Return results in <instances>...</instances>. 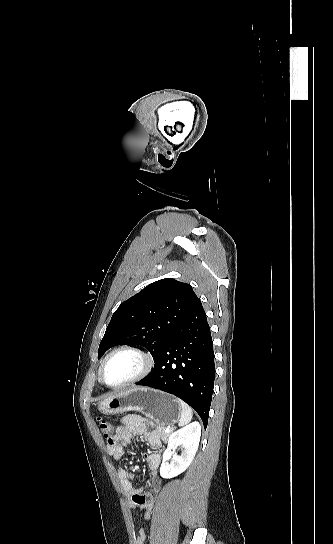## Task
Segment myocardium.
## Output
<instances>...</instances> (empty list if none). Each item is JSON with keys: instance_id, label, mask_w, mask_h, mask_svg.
Wrapping results in <instances>:
<instances>
[{"instance_id": "myocardium-1", "label": "myocardium", "mask_w": 333, "mask_h": 544, "mask_svg": "<svg viewBox=\"0 0 333 544\" xmlns=\"http://www.w3.org/2000/svg\"><path fill=\"white\" fill-rule=\"evenodd\" d=\"M121 352H129V353H133V354L139 356V358L141 359V362H142V366H141L140 371L135 376L128 379L127 381H125L123 383H120V384H117V385H110L104 379V368H105L107 362L109 361V359L111 357H113L114 355H116L118 353H121ZM154 364H155V362H154L153 357L148 352H146L145 350H143V349H141L139 347H136V346H132V345H122V346H119V347L115 348L111 352H109L106 355V357L104 358V360L102 361V363L100 365V368H99V380L103 385H105L106 387L112 388V389L124 388V387L130 386V385H133V384L143 380L145 377H147L150 374V372L152 371V369L154 367Z\"/></svg>"}]
</instances>
